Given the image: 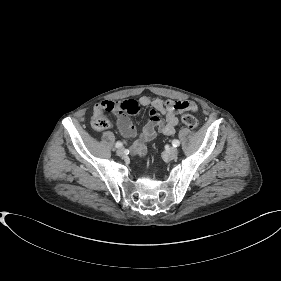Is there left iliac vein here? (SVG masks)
I'll return each mask as SVG.
<instances>
[{
  "label": "left iliac vein",
  "mask_w": 281,
  "mask_h": 281,
  "mask_svg": "<svg viewBox=\"0 0 281 281\" xmlns=\"http://www.w3.org/2000/svg\"><path fill=\"white\" fill-rule=\"evenodd\" d=\"M178 155V149L175 147H171L169 150L166 151V157L168 159H174Z\"/></svg>",
  "instance_id": "obj_1"
}]
</instances>
